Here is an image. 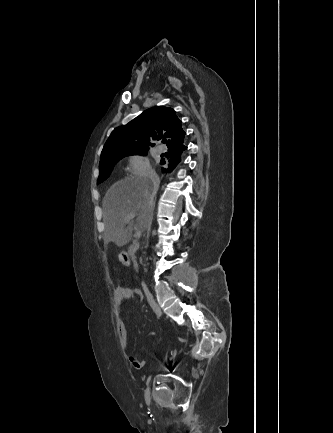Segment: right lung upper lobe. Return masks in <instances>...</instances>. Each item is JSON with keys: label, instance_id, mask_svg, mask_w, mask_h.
I'll list each match as a JSON object with an SVG mask.
<instances>
[{"label": "right lung upper lobe", "instance_id": "obj_1", "mask_svg": "<svg viewBox=\"0 0 333 433\" xmlns=\"http://www.w3.org/2000/svg\"><path fill=\"white\" fill-rule=\"evenodd\" d=\"M166 138L168 150L183 145L185 132L181 127V120L172 108L152 107L128 124L112 131L103 147L100 160L112 154L146 150L148 146H154L151 140Z\"/></svg>", "mask_w": 333, "mask_h": 433}]
</instances>
